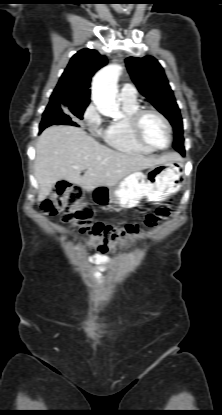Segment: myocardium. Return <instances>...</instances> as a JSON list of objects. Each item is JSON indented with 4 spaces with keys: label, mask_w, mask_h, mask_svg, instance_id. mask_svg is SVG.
<instances>
[{
    "label": "myocardium",
    "mask_w": 222,
    "mask_h": 415,
    "mask_svg": "<svg viewBox=\"0 0 222 415\" xmlns=\"http://www.w3.org/2000/svg\"><path fill=\"white\" fill-rule=\"evenodd\" d=\"M150 113L156 115L157 117H159L163 121V123L165 124V126H166V129H167V132H168V142L163 147L155 146V145L149 143L144 138V135H143V132H142V120H143V118H144L145 115L150 114ZM130 124H131V129H132V132H133L136 140L141 145H143V146H145V147H147V148H149V149H151L153 151H162V150H165L172 143L173 130H172L171 123L168 120V118L161 111H159L158 109H156L154 107L147 106V107H141V108H139L137 111H135L132 114V116L130 118Z\"/></svg>",
    "instance_id": "f54148a6"
}]
</instances>
